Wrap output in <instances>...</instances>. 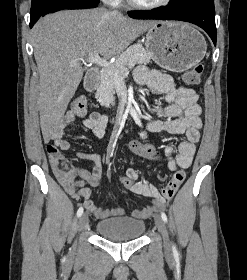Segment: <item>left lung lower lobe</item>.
<instances>
[{
    "instance_id": "obj_1",
    "label": "left lung lower lobe",
    "mask_w": 247,
    "mask_h": 280,
    "mask_svg": "<svg viewBox=\"0 0 247 280\" xmlns=\"http://www.w3.org/2000/svg\"><path fill=\"white\" fill-rule=\"evenodd\" d=\"M129 16L135 19L180 20L193 23L204 29L216 45L214 2H197L177 7L168 5L156 12L129 13Z\"/></svg>"
}]
</instances>
